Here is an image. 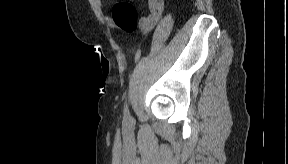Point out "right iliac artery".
Listing matches in <instances>:
<instances>
[{"mask_svg":"<svg viewBox=\"0 0 288 164\" xmlns=\"http://www.w3.org/2000/svg\"><path fill=\"white\" fill-rule=\"evenodd\" d=\"M140 55H141V52H140V50H138L136 52V55H135V61L136 62L139 60ZM124 116L126 119L129 118V111H128L127 105L125 106V109H124Z\"/></svg>","mask_w":288,"mask_h":164,"instance_id":"82829eb1","label":"right iliac artery"}]
</instances>
